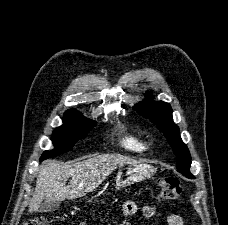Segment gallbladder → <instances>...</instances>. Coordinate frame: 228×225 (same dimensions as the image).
<instances>
[{
    "mask_svg": "<svg viewBox=\"0 0 228 225\" xmlns=\"http://www.w3.org/2000/svg\"><path fill=\"white\" fill-rule=\"evenodd\" d=\"M59 207V201H45V203H42V205H40L38 211L39 213H48V211H57Z\"/></svg>",
    "mask_w": 228,
    "mask_h": 225,
    "instance_id": "bac80fb5",
    "label": "gallbladder"
}]
</instances>
